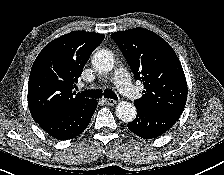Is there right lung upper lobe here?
I'll return each instance as SVG.
<instances>
[{
  "mask_svg": "<svg viewBox=\"0 0 224 175\" xmlns=\"http://www.w3.org/2000/svg\"><path fill=\"white\" fill-rule=\"evenodd\" d=\"M103 34L74 31L50 42L37 56L28 82V105L38 122L55 113L88 104L72 91Z\"/></svg>",
  "mask_w": 224,
  "mask_h": 175,
  "instance_id": "1",
  "label": "right lung upper lobe"
}]
</instances>
